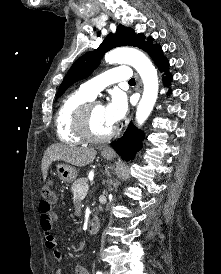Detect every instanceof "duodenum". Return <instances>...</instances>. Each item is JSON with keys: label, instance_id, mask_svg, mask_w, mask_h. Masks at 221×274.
Returning <instances> with one entry per match:
<instances>
[{"label": "duodenum", "instance_id": "1", "mask_svg": "<svg viewBox=\"0 0 221 274\" xmlns=\"http://www.w3.org/2000/svg\"><path fill=\"white\" fill-rule=\"evenodd\" d=\"M100 228V218L97 214H94L88 223L87 231L90 235L96 234Z\"/></svg>", "mask_w": 221, "mask_h": 274}]
</instances>
